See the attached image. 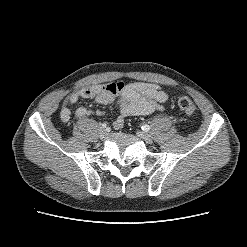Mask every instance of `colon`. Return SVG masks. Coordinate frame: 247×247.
<instances>
[{
  "mask_svg": "<svg viewBox=\"0 0 247 247\" xmlns=\"http://www.w3.org/2000/svg\"><path fill=\"white\" fill-rule=\"evenodd\" d=\"M178 108L188 116H191L195 112V105L191 99L185 96H180L177 99Z\"/></svg>",
  "mask_w": 247,
  "mask_h": 247,
  "instance_id": "1",
  "label": "colon"
}]
</instances>
